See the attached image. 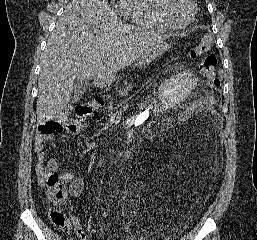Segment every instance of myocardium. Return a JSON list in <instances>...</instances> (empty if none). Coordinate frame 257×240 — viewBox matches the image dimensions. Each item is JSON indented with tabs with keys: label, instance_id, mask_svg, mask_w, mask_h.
Here are the masks:
<instances>
[{
	"label": "myocardium",
	"instance_id": "f54148a6",
	"mask_svg": "<svg viewBox=\"0 0 257 240\" xmlns=\"http://www.w3.org/2000/svg\"><path fill=\"white\" fill-rule=\"evenodd\" d=\"M191 4H192V13L190 18L182 23V24H177L173 21H171L165 11H164V7H163V3L164 0H154V6H155V11L157 13V15L159 16V18L166 23L170 28H174V29H184L186 27H188L195 19L197 12H198V5H197V1L196 0H190Z\"/></svg>",
	"mask_w": 257,
	"mask_h": 240
}]
</instances>
